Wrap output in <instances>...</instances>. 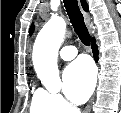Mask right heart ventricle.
<instances>
[{
  "instance_id": "right-heart-ventricle-1",
  "label": "right heart ventricle",
  "mask_w": 121,
  "mask_h": 113,
  "mask_svg": "<svg viewBox=\"0 0 121 113\" xmlns=\"http://www.w3.org/2000/svg\"><path fill=\"white\" fill-rule=\"evenodd\" d=\"M29 113H54L55 109L50 94L39 88L35 90L29 101Z\"/></svg>"
}]
</instances>
